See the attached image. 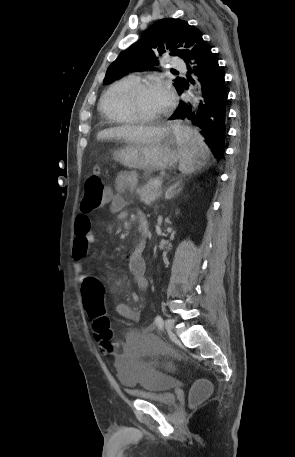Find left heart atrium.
I'll return each mask as SVG.
<instances>
[{
	"label": "left heart atrium",
	"instance_id": "1",
	"mask_svg": "<svg viewBox=\"0 0 295 457\" xmlns=\"http://www.w3.org/2000/svg\"><path fill=\"white\" fill-rule=\"evenodd\" d=\"M156 93L165 108L172 105L174 101V94L169 85L166 83L157 84Z\"/></svg>",
	"mask_w": 295,
	"mask_h": 457
}]
</instances>
